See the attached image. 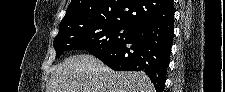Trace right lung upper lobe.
I'll return each instance as SVG.
<instances>
[{
    "instance_id": "1",
    "label": "right lung upper lobe",
    "mask_w": 225,
    "mask_h": 92,
    "mask_svg": "<svg viewBox=\"0 0 225 92\" xmlns=\"http://www.w3.org/2000/svg\"><path fill=\"white\" fill-rule=\"evenodd\" d=\"M172 0H71L59 30L81 21L118 22L131 27L174 18Z\"/></svg>"
}]
</instances>
